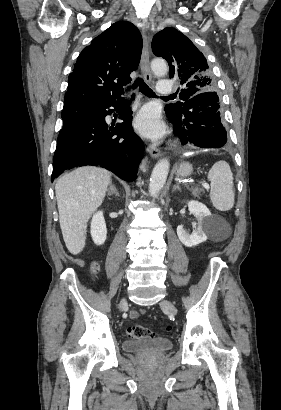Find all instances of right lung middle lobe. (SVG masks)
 <instances>
[{
  "mask_svg": "<svg viewBox=\"0 0 281 410\" xmlns=\"http://www.w3.org/2000/svg\"><path fill=\"white\" fill-rule=\"evenodd\" d=\"M94 107L77 106L64 108L62 110L63 126L68 125L75 120L92 112Z\"/></svg>",
  "mask_w": 281,
  "mask_h": 410,
  "instance_id": "dd1d6c3e",
  "label": "right lung middle lobe"
}]
</instances>
